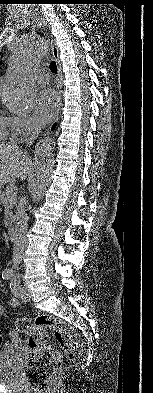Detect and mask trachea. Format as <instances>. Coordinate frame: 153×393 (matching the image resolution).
Listing matches in <instances>:
<instances>
[{
	"label": "trachea",
	"instance_id": "3493384b",
	"mask_svg": "<svg viewBox=\"0 0 153 393\" xmlns=\"http://www.w3.org/2000/svg\"><path fill=\"white\" fill-rule=\"evenodd\" d=\"M49 68H50V70H51L52 73H55V74L57 73V65H56V62H55V61H52V62L50 63Z\"/></svg>",
	"mask_w": 153,
	"mask_h": 393
}]
</instances>
